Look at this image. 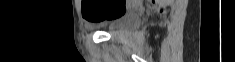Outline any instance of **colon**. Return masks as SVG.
Listing matches in <instances>:
<instances>
[{
    "instance_id": "5ec220e1",
    "label": "colon",
    "mask_w": 235,
    "mask_h": 62,
    "mask_svg": "<svg viewBox=\"0 0 235 62\" xmlns=\"http://www.w3.org/2000/svg\"><path fill=\"white\" fill-rule=\"evenodd\" d=\"M131 2L129 0H108L99 3L96 0H83V16L87 21L97 23L125 13Z\"/></svg>"
}]
</instances>
